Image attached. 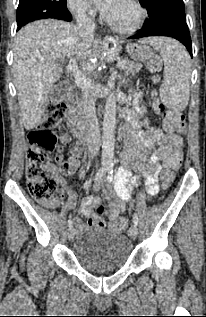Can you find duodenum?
Returning <instances> with one entry per match:
<instances>
[{
  "label": "duodenum",
  "instance_id": "obj_1",
  "mask_svg": "<svg viewBox=\"0 0 206 317\" xmlns=\"http://www.w3.org/2000/svg\"><path fill=\"white\" fill-rule=\"evenodd\" d=\"M67 106H70V103H67ZM67 118L74 138L88 143L92 138V130L82 121L74 107L69 108Z\"/></svg>",
  "mask_w": 206,
  "mask_h": 317
}]
</instances>
